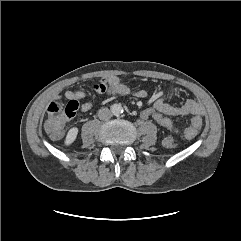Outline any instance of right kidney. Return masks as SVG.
<instances>
[{
    "instance_id": "obj_1",
    "label": "right kidney",
    "mask_w": 241,
    "mask_h": 241,
    "mask_svg": "<svg viewBox=\"0 0 241 241\" xmlns=\"http://www.w3.org/2000/svg\"><path fill=\"white\" fill-rule=\"evenodd\" d=\"M77 135H78V128L77 127L71 128L66 135L65 144L71 145L76 140Z\"/></svg>"
}]
</instances>
